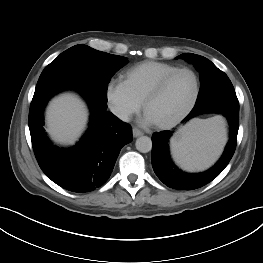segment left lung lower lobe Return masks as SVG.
Segmentation results:
<instances>
[{"mask_svg": "<svg viewBox=\"0 0 263 263\" xmlns=\"http://www.w3.org/2000/svg\"><path fill=\"white\" fill-rule=\"evenodd\" d=\"M223 114L230 124V139L220 160L209 170L188 174L179 170L169 155L168 141L173 131L156 132L152 136V166L158 178L168 187L178 190H194L216 178L231 160L237 143L239 128V102L235 92L219 93L196 103L183 123L201 113Z\"/></svg>", "mask_w": 263, "mask_h": 263, "instance_id": "left-lung-lower-lobe-1", "label": "left lung lower lobe"}]
</instances>
